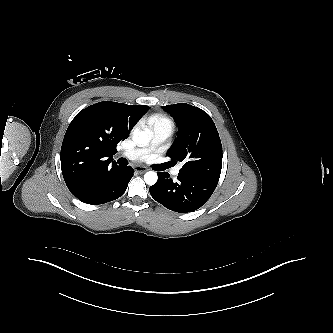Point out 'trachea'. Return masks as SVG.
<instances>
[{
	"label": "trachea",
	"instance_id": "trachea-1",
	"mask_svg": "<svg viewBox=\"0 0 333 333\" xmlns=\"http://www.w3.org/2000/svg\"><path fill=\"white\" fill-rule=\"evenodd\" d=\"M118 164L121 165V166H126L128 164V161L125 158H120V159H118ZM168 167H171V164H168L167 168Z\"/></svg>",
	"mask_w": 333,
	"mask_h": 333
}]
</instances>
